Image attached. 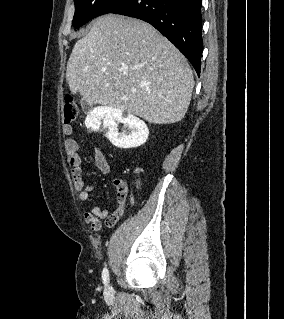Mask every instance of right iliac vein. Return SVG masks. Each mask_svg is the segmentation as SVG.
<instances>
[{"label":"right iliac vein","instance_id":"right-iliac-vein-1","mask_svg":"<svg viewBox=\"0 0 284 319\" xmlns=\"http://www.w3.org/2000/svg\"><path fill=\"white\" fill-rule=\"evenodd\" d=\"M106 292H107L108 294H110V293L112 292V287H111V286H108V287L106 288Z\"/></svg>","mask_w":284,"mask_h":319}]
</instances>
